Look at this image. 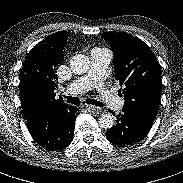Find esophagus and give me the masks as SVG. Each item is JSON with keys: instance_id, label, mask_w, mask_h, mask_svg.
I'll use <instances>...</instances> for the list:
<instances>
[{"instance_id": "esophagus-1", "label": "esophagus", "mask_w": 183, "mask_h": 183, "mask_svg": "<svg viewBox=\"0 0 183 183\" xmlns=\"http://www.w3.org/2000/svg\"><path fill=\"white\" fill-rule=\"evenodd\" d=\"M85 108L88 111H90L92 113H96V114H98L102 111V109L100 107H96V106H93V105H85Z\"/></svg>"}]
</instances>
